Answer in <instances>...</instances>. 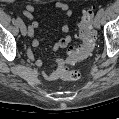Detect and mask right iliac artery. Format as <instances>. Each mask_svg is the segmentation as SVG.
I'll use <instances>...</instances> for the list:
<instances>
[{"instance_id":"obj_1","label":"right iliac artery","mask_w":119,"mask_h":119,"mask_svg":"<svg viewBox=\"0 0 119 119\" xmlns=\"http://www.w3.org/2000/svg\"><path fill=\"white\" fill-rule=\"evenodd\" d=\"M16 22L19 26L23 23V21L20 17H17Z\"/></svg>"}]
</instances>
